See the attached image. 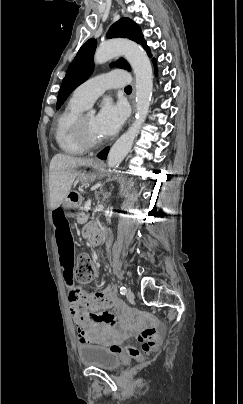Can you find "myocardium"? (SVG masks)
<instances>
[{"instance_id":"obj_1","label":"myocardium","mask_w":243,"mask_h":404,"mask_svg":"<svg viewBox=\"0 0 243 404\" xmlns=\"http://www.w3.org/2000/svg\"><path fill=\"white\" fill-rule=\"evenodd\" d=\"M100 33L101 32H89V34H100ZM84 118L85 114H81L76 119L73 125V131L81 144H83L88 149H94L100 145V140H94L87 136L83 127Z\"/></svg>"}]
</instances>
